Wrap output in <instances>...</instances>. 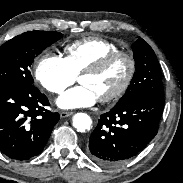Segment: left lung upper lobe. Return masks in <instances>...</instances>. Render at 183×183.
Here are the masks:
<instances>
[{"label": "left lung upper lobe", "instance_id": "left-lung-upper-lobe-1", "mask_svg": "<svg viewBox=\"0 0 183 183\" xmlns=\"http://www.w3.org/2000/svg\"><path fill=\"white\" fill-rule=\"evenodd\" d=\"M135 73L124 94L116 105L139 96H163V85L157 57L146 41L139 38L132 45Z\"/></svg>", "mask_w": 183, "mask_h": 183}]
</instances>
